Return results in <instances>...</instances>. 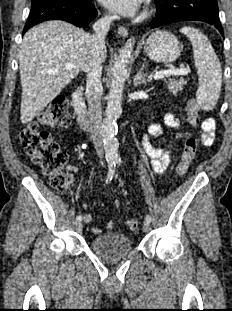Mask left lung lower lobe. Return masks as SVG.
Segmentation results:
<instances>
[{"label":"left lung lower lobe","instance_id":"0a47b994","mask_svg":"<svg viewBox=\"0 0 232 311\" xmlns=\"http://www.w3.org/2000/svg\"><path fill=\"white\" fill-rule=\"evenodd\" d=\"M156 15L150 23V28L179 21H203L214 25L222 34L218 6L216 0H154Z\"/></svg>","mask_w":232,"mask_h":311}]
</instances>
